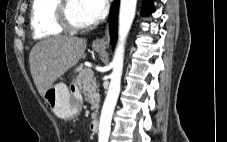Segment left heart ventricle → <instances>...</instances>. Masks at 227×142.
<instances>
[{"mask_svg": "<svg viewBox=\"0 0 227 142\" xmlns=\"http://www.w3.org/2000/svg\"><path fill=\"white\" fill-rule=\"evenodd\" d=\"M68 13L71 19L77 24L91 23L82 10L80 0H69Z\"/></svg>", "mask_w": 227, "mask_h": 142, "instance_id": "1", "label": "left heart ventricle"}]
</instances>
